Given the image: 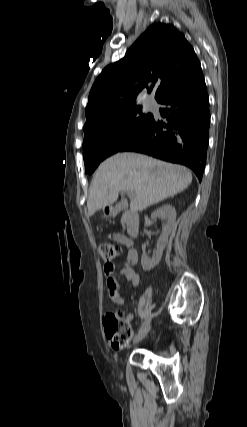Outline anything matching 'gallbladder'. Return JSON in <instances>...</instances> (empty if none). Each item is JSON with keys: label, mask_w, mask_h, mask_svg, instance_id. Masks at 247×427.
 <instances>
[{"label": "gallbladder", "mask_w": 247, "mask_h": 427, "mask_svg": "<svg viewBox=\"0 0 247 427\" xmlns=\"http://www.w3.org/2000/svg\"><path fill=\"white\" fill-rule=\"evenodd\" d=\"M116 207H117L118 209H122V208H123V205H122L121 203H118V204L116 205Z\"/></svg>", "instance_id": "gallbladder-1"}]
</instances>
